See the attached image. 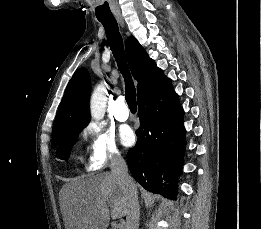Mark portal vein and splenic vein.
I'll return each mask as SVG.
<instances>
[{"label": "portal vein and splenic vein", "mask_w": 261, "mask_h": 229, "mask_svg": "<svg viewBox=\"0 0 261 229\" xmlns=\"http://www.w3.org/2000/svg\"><path fill=\"white\" fill-rule=\"evenodd\" d=\"M117 229H123V225H118Z\"/></svg>", "instance_id": "portal-vein-and-splenic-vein-1"}]
</instances>
